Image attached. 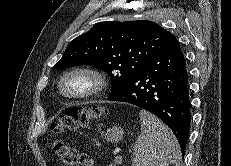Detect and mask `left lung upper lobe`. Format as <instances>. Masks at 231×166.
I'll return each instance as SVG.
<instances>
[{"label": "left lung upper lobe", "mask_w": 231, "mask_h": 166, "mask_svg": "<svg viewBox=\"0 0 231 166\" xmlns=\"http://www.w3.org/2000/svg\"><path fill=\"white\" fill-rule=\"evenodd\" d=\"M173 36L158 24L146 20L99 22L72 40L54 67L94 65L109 74L112 95L152 61Z\"/></svg>", "instance_id": "1"}]
</instances>
